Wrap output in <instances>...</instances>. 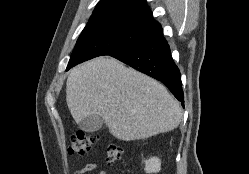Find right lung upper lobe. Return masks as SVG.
Returning a JSON list of instances; mask_svg holds the SVG:
<instances>
[{"label": "right lung upper lobe", "mask_w": 249, "mask_h": 174, "mask_svg": "<svg viewBox=\"0 0 249 174\" xmlns=\"http://www.w3.org/2000/svg\"><path fill=\"white\" fill-rule=\"evenodd\" d=\"M121 24L151 28L158 22L153 19L146 0H100L84 30H100Z\"/></svg>", "instance_id": "cb5924a9"}]
</instances>
